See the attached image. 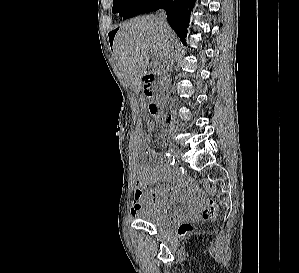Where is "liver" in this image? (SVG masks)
Here are the masks:
<instances>
[{
    "instance_id": "1",
    "label": "liver",
    "mask_w": 299,
    "mask_h": 273,
    "mask_svg": "<svg viewBox=\"0 0 299 273\" xmlns=\"http://www.w3.org/2000/svg\"><path fill=\"white\" fill-rule=\"evenodd\" d=\"M176 43L173 30L164 27L155 16L137 17L120 25L114 38L113 53L119 71L136 94L141 90L149 54L154 55L161 66L168 63Z\"/></svg>"
}]
</instances>
